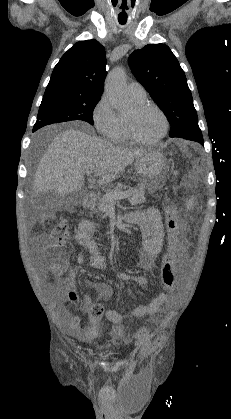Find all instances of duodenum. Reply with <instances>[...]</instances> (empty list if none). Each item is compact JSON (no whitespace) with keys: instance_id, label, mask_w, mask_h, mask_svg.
<instances>
[{"instance_id":"410a0bca","label":"duodenum","mask_w":231,"mask_h":419,"mask_svg":"<svg viewBox=\"0 0 231 419\" xmlns=\"http://www.w3.org/2000/svg\"><path fill=\"white\" fill-rule=\"evenodd\" d=\"M95 200H96V196L93 193H87L84 198V204L86 207L90 208L94 206ZM124 220L127 224L133 223V219L130 215L125 217Z\"/></svg>"}]
</instances>
